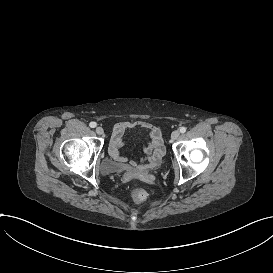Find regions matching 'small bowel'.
<instances>
[{
	"label": "small bowel",
	"instance_id": "small-bowel-1",
	"mask_svg": "<svg viewBox=\"0 0 273 273\" xmlns=\"http://www.w3.org/2000/svg\"><path fill=\"white\" fill-rule=\"evenodd\" d=\"M143 128L151 133V142L146 148L147 159L144 162H127L126 158L121 154V148L124 145V135L127 131L134 128ZM154 132L156 136L154 135ZM164 130L157 126L153 130L152 126L147 122H128L122 121L115 124L109 145L110 156L118 163H120L127 171L140 172L146 168H156L160 165L161 158L166 157L167 152L164 150L162 142H164Z\"/></svg>",
	"mask_w": 273,
	"mask_h": 273
}]
</instances>
